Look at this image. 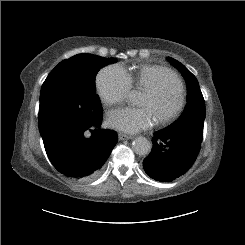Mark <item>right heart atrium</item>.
I'll list each match as a JSON object with an SVG mask.
<instances>
[{
  "label": "right heart atrium",
  "mask_w": 245,
  "mask_h": 245,
  "mask_svg": "<svg viewBox=\"0 0 245 245\" xmlns=\"http://www.w3.org/2000/svg\"><path fill=\"white\" fill-rule=\"evenodd\" d=\"M132 83L126 70L117 64L102 68L96 76V88L107 105L122 101L130 92Z\"/></svg>",
  "instance_id": "1"
}]
</instances>
